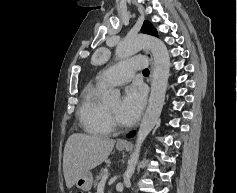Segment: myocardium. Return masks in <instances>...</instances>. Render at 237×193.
<instances>
[{
  "mask_svg": "<svg viewBox=\"0 0 237 193\" xmlns=\"http://www.w3.org/2000/svg\"><path fill=\"white\" fill-rule=\"evenodd\" d=\"M105 110V117H106V121L108 126L111 129H121L123 128L122 123H119L116 118L110 113V111L107 109V107H104Z\"/></svg>",
  "mask_w": 237,
  "mask_h": 193,
  "instance_id": "f54148a6",
  "label": "myocardium"
}]
</instances>
